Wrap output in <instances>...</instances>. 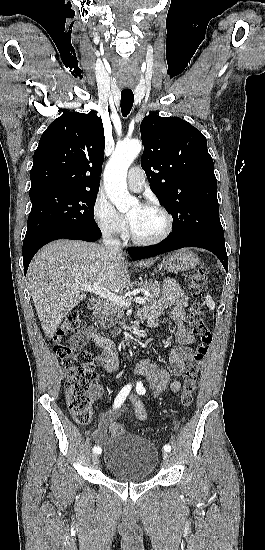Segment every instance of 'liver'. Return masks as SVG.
I'll return each mask as SVG.
<instances>
[{"label": "liver", "instance_id": "liver-1", "mask_svg": "<svg viewBox=\"0 0 265 550\" xmlns=\"http://www.w3.org/2000/svg\"><path fill=\"white\" fill-rule=\"evenodd\" d=\"M154 260L140 261L149 267ZM122 254L110 255L104 246L79 240H57L43 247L27 272L31 296L44 333L53 338L60 323L86 295L77 284L100 283L108 291L130 284Z\"/></svg>", "mask_w": 265, "mask_h": 550}]
</instances>
